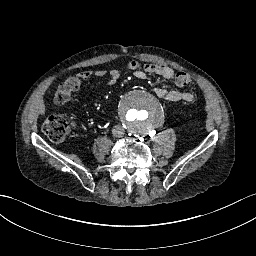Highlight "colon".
Returning <instances> with one entry per match:
<instances>
[{
    "label": "colon",
    "instance_id": "5ec220e1",
    "mask_svg": "<svg viewBox=\"0 0 256 256\" xmlns=\"http://www.w3.org/2000/svg\"><path fill=\"white\" fill-rule=\"evenodd\" d=\"M175 82L179 87H188L194 84L193 78L182 71L176 73ZM82 84L83 78L80 75L69 77L63 81L54 95V104L60 106L69 102L71 93L78 90ZM42 129L51 140L59 142L65 139L70 125L62 116L54 115L44 121Z\"/></svg>",
    "mask_w": 256,
    "mask_h": 256
}]
</instances>
